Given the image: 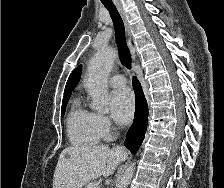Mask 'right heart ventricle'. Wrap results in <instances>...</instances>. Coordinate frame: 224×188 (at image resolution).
Masks as SVG:
<instances>
[{
    "instance_id": "right-heart-ventricle-1",
    "label": "right heart ventricle",
    "mask_w": 224,
    "mask_h": 188,
    "mask_svg": "<svg viewBox=\"0 0 224 188\" xmlns=\"http://www.w3.org/2000/svg\"><path fill=\"white\" fill-rule=\"evenodd\" d=\"M67 130L70 141L79 146L98 143L100 136L94 127L92 113L76 101L67 118Z\"/></svg>"
}]
</instances>
